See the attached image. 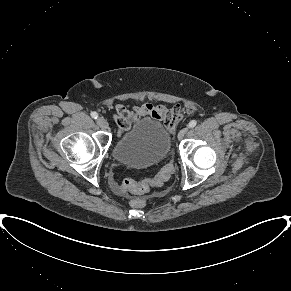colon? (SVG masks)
Returning a JSON list of instances; mask_svg holds the SVG:
<instances>
[{
    "label": "colon",
    "instance_id": "5ec220e1",
    "mask_svg": "<svg viewBox=\"0 0 291 291\" xmlns=\"http://www.w3.org/2000/svg\"><path fill=\"white\" fill-rule=\"evenodd\" d=\"M174 163L169 161L160 171L152 178L136 182L131 179H124L120 184H115L116 188L122 193L142 194L149 190L150 187L163 185L173 174ZM130 204L134 208H144L147 203L144 199L133 198Z\"/></svg>",
    "mask_w": 291,
    "mask_h": 291
}]
</instances>
